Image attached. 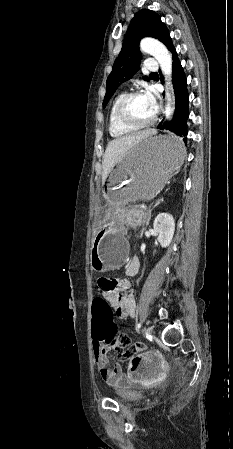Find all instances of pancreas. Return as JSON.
Returning a JSON list of instances; mask_svg holds the SVG:
<instances>
[{"label":"pancreas","mask_w":233,"mask_h":449,"mask_svg":"<svg viewBox=\"0 0 233 449\" xmlns=\"http://www.w3.org/2000/svg\"><path fill=\"white\" fill-rule=\"evenodd\" d=\"M119 220L131 227L144 225L148 220V213L139 206L125 209L119 216Z\"/></svg>","instance_id":"1"}]
</instances>
